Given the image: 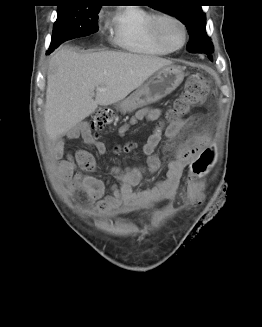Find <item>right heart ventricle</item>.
Here are the masks:
<instances>
[{"label":"right heart ventricle","mask_w":262,"mask_h":327,"mask_svg":"<svg viewBox=\"0 0 262 327\" xmlns=\"http://www.w3.org/2000/svg\"><path fill=\"white\" fill-rule=\"evenodd\" d=\"M155 14L139 7L119 9L110 25L112 40L120 48L139 54L163 56L171 51L155 38L152 20Z\"/></svg>","instance_id":"obj_1"}]
</instances>
